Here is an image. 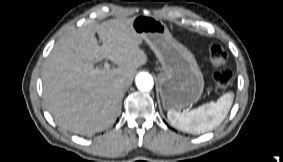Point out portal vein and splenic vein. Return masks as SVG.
<instances>
[{
	"mask_svg": "<svg viewBox=\"0 0 283 162\" xmlns=\"http://www.w3.org/2000/svg\"><path fill=\"white\" fill-rule=\"evenodd\" d=\"M109 67H110L109 63L105 62V63H104V68H105V69H109ZM99 71H100L99 69H96V70H95V72H99Z\"/></svg>",
	"mask_w": 283,
	"mask_h": 162,
	"instance_id": "obj_1",
	"label": "portal vein and splenic vein"
}]
</instances>
